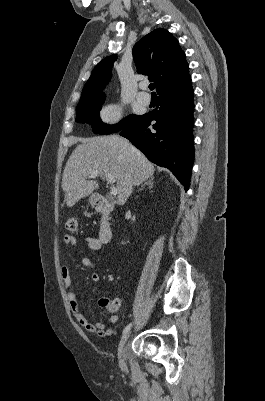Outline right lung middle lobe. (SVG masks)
Here are the masks:
<instances>
[{
  "label": "right lung middle lobe",
  "instance_id": "dd1d6c3e",
  "mask_svg": "<svg viewBox=\"0 0 265 401\" xmlns=\"http://www.w3.org/2000/svg\"><path fill=\"white\" fill-rule=\"evenodd\" d=\"M105 100V95L96 96L88 101L78 104L76 121L88 123L93 132L97 134H111L126 129L142 119V115H130L118 124L108 125L101 121L98 111Z\"/></svg>",
  "mask_w": 265,
  "mask_h": 401
}]
</instances>
